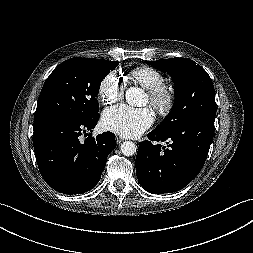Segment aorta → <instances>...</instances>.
I'll use <instances>...</instances> for the list:
<instances>
[{"mask_svg": "<svg viewBox=\"0 0 253 253\" xmlns=\"http://www.w3.org/2000/svg\"><path fill=\"white\" fill-rule=\"evenodd\" d=\"M126 102L131 106H143L146 102V97L141 88L130 87L125 93ZM121 152L125 156H132L136 153V145L131 141H125L121 144Z\"/></svg>", "mask_w": 253, "mask_h": 253, "instance_id": "1", "label": "aorta"}]
</instances>
